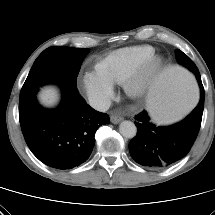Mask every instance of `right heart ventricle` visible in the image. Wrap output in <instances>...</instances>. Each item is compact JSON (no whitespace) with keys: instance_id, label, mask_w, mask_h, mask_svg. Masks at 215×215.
<instances>
[{"instance_id":"1","label":"right heart ventricle","mask_w":215,"mask_h":215,"mask_svg":"<svg viewBox=\"0 0 215 215\" xmlns=\"http://www.w3.org/2000/svg\"><path fill=\"white\" fill-rule=\"evenodd\" d=\"M154 54V48L148 45L120 48L99 59L95 69L111 83L122 84L133 69Z\"/></svg>"}]
</instances>
